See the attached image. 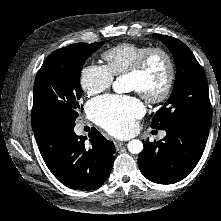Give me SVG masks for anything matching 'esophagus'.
<instances>
[{
  "instance_id": "34e87169",
  "label": "esophagus",
  "mask_w": 221,
  "mask_h": 221,
  "mask_svg": "<svg viewBox=\"0 0 221 221\" xmlns=\"http://www.w3.org/2000/svg\"><path fill=\"white\" fill-rule=\"evenodd\" d=\"M125 143L122 141H114V145L116 149H119L121 146H123Z\"/></svg>"
}]
</instances>
